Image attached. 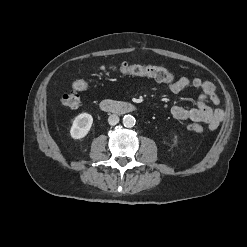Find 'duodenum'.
Instances as JSON below:
<instances>
[{
	"mask_svg": "<svg viewBox=\"0 0 247 247\" xmlns=\"http://www.w3.org/2000/svg\"><path fill=\"white\" fill-rule=\"evenodd\" d=\"M100 107L105 112L126 114L133 112L135 107L127 102L114 101L110 99H105L100 103Z\"/></svg>",
	"mask_w": 247,
	"mask_h": 247,
	"instance_id": "1",
	"label": "duodenum"
}]
</instances>
